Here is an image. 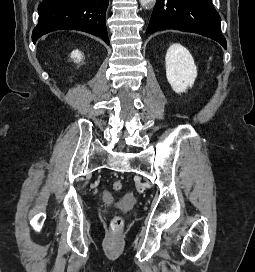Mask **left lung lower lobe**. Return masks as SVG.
<instances>
[{
	"instance_id": "1",
	"label": "left lung lower lobe",
	"mask_w": 255,
	"mask_h": 272,
	"mask_svg": "<svg viewBox=\"0 0 255 272\" xmlns=\"http://www.w3.org/2000/svg\"><path fill=\"white\" fill-rule=\"evenodd\" d=\"M220 22L212 0H157L146 33L166 29L193 32L219 42L226 49Z\"/></svg>"
}]
</instances>
